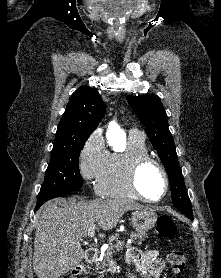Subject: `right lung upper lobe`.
<instances>
[{"instance_id": "1", "label": "right lung upper lobe", "mask_w": 221, "mask_h": 278, "mask_svg": "<svg viewBox=\"0 0 221 278\" xmlns=\"http://www.w3.org/2000/svg\"><path fill=\"white\" fill-rule=\"evenodd\" d=\"M105 116V103L93 88L80 87L71 96L59 122L53 148L85 142Z\"/></svg>"}]
</instances>
